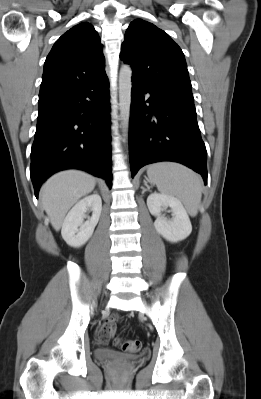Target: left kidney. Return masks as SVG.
<instances>
[{
  "instance_id": "obj_1",
  "label": "left kidney",
  "mask_w": 261,
  "mask_h": 399,
  "mask_svg": "<svg viewBox=\"0 0 261 399\" xmlns=\"http://www.w3.org/2000/svg\"><path fill=\"white\" fill-rule=\"evenodd\" d=\"M147 206L156 217L154 227L167 241L176 243L186 239L192 232L189 216L181 201L173 196L152 193L147 198ZM171 208L173 218L167 219L162 211Z\"/></svg>"
}]
</instances>
